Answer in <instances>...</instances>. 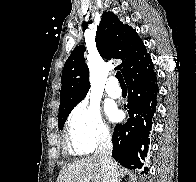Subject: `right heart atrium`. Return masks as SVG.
I'll return each instance as SVG.
<instances>
[{
	"label": "right heart atrium",
	"instance_id": "d8ad5b80",
	"mask_svg": "<svg viewBox=\"0 0 196 182\" xmlns=\"http://www.w3.org/2000/svg\"><path fill=\"white\" fill-rule=\"evenodd\" d=\"M67 134L71 151L87 154L110 140V131L99 107L90 102L79 103L67 119Z\"/></svg>",
	"mask_w": 196,
	"mask_h": 182
}]
</instances>
